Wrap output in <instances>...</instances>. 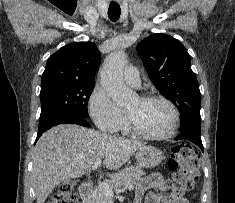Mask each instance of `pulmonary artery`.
Masks as SVG:
<instances>
[{"label": "pulmonary artery", "instance_id": "obj_1", "mask_svg": "<svg viewBox=\"0 0 235 203\" xmlns=\"http://www.w3.org/2000/svg\"><path fill=\"white\" fill-rule=\"evenodd\" d=\"M124 80L126 83L130 84L133 87L140 86V76L138 70L133 67L129 66L124 70Z\"/></svg>", "mask_w": 235, "mask_h": 203}]
</instances>
